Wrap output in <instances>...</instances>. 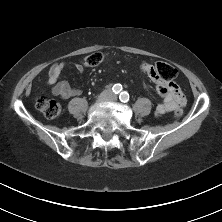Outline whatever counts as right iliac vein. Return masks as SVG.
Masks as SVG:
<instances>
[{
	"instance_id": "obj_1",
	"label": "right iliac vein",
	"mask_w": 222,
	"mask_h": 222,
	"mask_svg": "<svg viewBox=\"0 0 222 222\" xmlns=\"http://www.w3.org/2000/svg\"><path fill=\"white\" fill-rule=\"evenodd\" d=\"M107 98H108V93L104 92L98 97L97 103H103L107 100Z\"/></svg>"
}]
</instances>
